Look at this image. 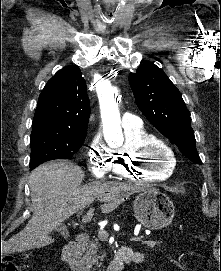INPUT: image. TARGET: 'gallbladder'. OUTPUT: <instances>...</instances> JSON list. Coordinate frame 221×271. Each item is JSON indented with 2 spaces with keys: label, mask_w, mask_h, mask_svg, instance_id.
<instances>
[{
  "label": "gallbladder",
  "mask_w": 221,
  "mask_h": 271,
  "mask_svg": "<svg viewBox=\"0 0 221 271\" xmlns=\"http://www.w3.org/2000/svg\"><path fill=\"white\" fill-rule=\"evenodd\" d=\"M55 231H62L63 229V225L61 223V225H57V227H54Z\"/></svg>",
  "instance_id": "bac80fb5"
}]
</instances>
